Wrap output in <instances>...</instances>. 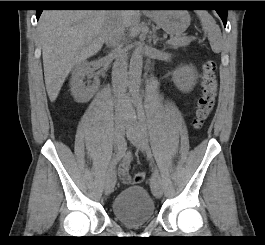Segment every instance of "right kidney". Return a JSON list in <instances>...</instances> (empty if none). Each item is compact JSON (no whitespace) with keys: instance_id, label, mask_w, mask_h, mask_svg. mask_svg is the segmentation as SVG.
Listing matches in <instances>:
<instances>
[{"instance_id":"right-kidney-1","label":"right kidney","mask_w":265,"mask_h":245,"mask_svg":"<svg viewBox=\"0 0 265 245\" xmlns=\"http://www.w3.org/2000/svg\"><path fill=\"white\" fill-rule=\"evenodd\" d=\"M85 76L94 78L92 85H85L83 81ZM99 85L100 80L95 76L88 62L83 61L74 67L70 80V87L72 95L77 102H88L94 96Z\"/></svg>"}]
</instances>
